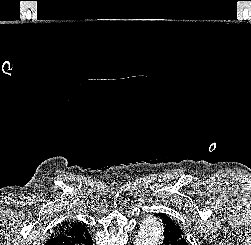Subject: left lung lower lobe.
Returning <instances> with one entry per match:
<instances>
[{"label": "left lung lower lobe", "mask_w": 251, "mask_h": 245, "mask_svg": "<svg viewBox=\"0 0 251 245\" xmlns=\"http://www.w3.org/2000/svg\"><path fill=\"white\" fill-rule=\"evenodd\" d=\"M159 217L163 227V244L162 245H188L184 235L173 224L168 221V216L165 214H155ZM165 220V224L163 223Z\"/></svg>", "instance_id": "left-lung-lower-lobe-1"}]
</instances>
